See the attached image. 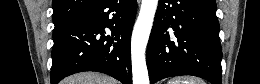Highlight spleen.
Returning a JSON list of instances; mask_svg holds the SVG:
<instances>
[{
    "label": "spleen",
    "mask_w": 260,
    "mask_h": 84,
    "mask_svg": "<svg viewBox=\"0 0 260 84\" xmlns=\"http://www.w3.org/2000/svg\"><path fill=\"white\" fill-rule=\"evenodd\" d=\"M167 84H206L205 81L199 77H179L173 78Z\"/></svg>",
    "instance_id": "spleen-1"
}]
</instances>
